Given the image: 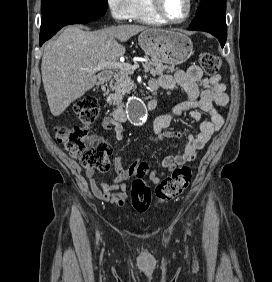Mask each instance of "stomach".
Returning a JSON list of instances; mask_svg holds the SVG:
<instances>
[{
	"instance_id": "1",
	"label": "stomach",
	"mask_w": 272,
	"mask_h": 282,
	"mask_svg": "<svg viewBox=\"0 0 272 282\" xmlns=\"http://www.w3.org/2000/svg\"><path fill=\"white\" fill-rule=\"evenodd\" d=\"M138 41L143 51L161 64H182L193 53L191 39L178 30L147 29Z\"/></svg>"
}]
</instances>
